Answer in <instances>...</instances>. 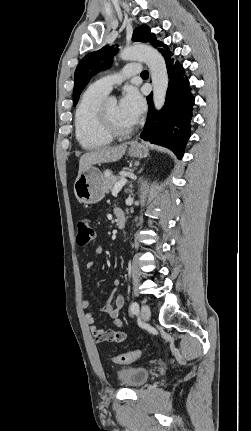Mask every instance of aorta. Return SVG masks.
<instances>
[{
    "label": "aorta",
    "instance_id": "obj_1",
    "mask_svg": "<svg viewBox=\"0 0 251 431\" xmlns=\"http://www.w3.org/2000/svg\"><path fill=\"white\" fill-rule=\"evenodd\" d=\"M119 57L127 61L139 60L146 63L152 78L154 106L156 110H160L165 103L169 82L166 63L162 55L150 46L135 45L123 49Z\"/></svg>",
    "mask_w": 251,
    "mask_h": 431
}]
</instances>
